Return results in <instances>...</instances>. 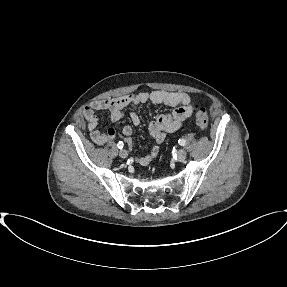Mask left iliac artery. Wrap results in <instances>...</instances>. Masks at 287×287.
<instances>
[{"label": "left iliac artery", "instance_id": "1", "mask_svg": "<svg viewBox=\"0 0 287 287\" xmlns=\"http://www.w3.org/2000/svg\"><path fill=\"white\" fill-rule=\"evenodd\" d=\"M178 143L183 146L185 145L186 141L182 138L178 140Z\"/></svg>", "mask_w": 287, "mask_h": 287}]
</instances>
